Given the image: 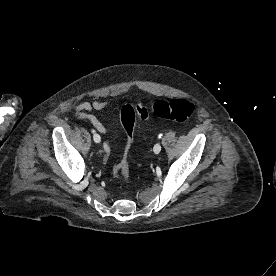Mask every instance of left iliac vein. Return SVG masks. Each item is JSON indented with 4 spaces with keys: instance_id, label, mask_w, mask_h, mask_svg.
<instances>
[{
    "instance_id": "1",
    "label": "left iliac vein",
    "mask_w": 276,
    "mask_h": 276,
    "mask_svg": "<svg viewBox=\"0 0 276 276\" xmlns=\"http://www.w3.org/2000/svg\"><path fill=\"white\" fill-rule=\"evenodd\" d=\"M161 151V145L159 143L155 144L154 152L158 154Z\"/></svg>"
}]
</instances>
